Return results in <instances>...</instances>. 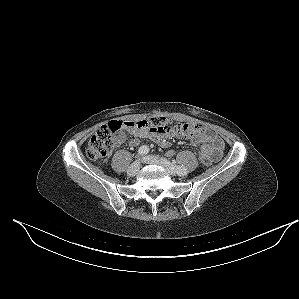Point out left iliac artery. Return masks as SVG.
Wrapping results in <instances>:
<instances>
[{"label": "left iliac artery", "instance_id": "44dca946", "mask_svg": "<svg viewBox=\"0 0 299 299\" xmlns=\"http://www.w3.org/2000/svg\"><path fill=\"white\" fill-rule=\"evenodd\" d=\"M164 161H166L169 165H171V167L175 170V172L178 175H186L187 174V169L183 166H178L175 163H170L169 161L163 159Z\"/></svg>", "mask_w": 299, "mask_h": 299}]
</instances>
